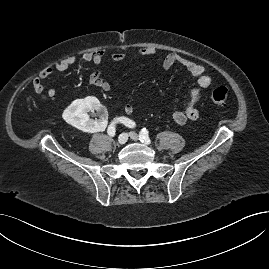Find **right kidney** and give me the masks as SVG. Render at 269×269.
Here are the masks:
<instances>
[{
    "label": "right kidney",
    "instance_id": "1",
    "mask_svg": "<svg viewBox=\"0 0 269 269\" xmlns=\"http://www.w3.org/2000/svg\"><path fill=\"white\" fill-rule=\"evenodd\" d=\"M93 111L100 114L95 117V120L91 119L88 114ZM107 111V106L97 98L88 97L74 101L68 109L61 111L60 116L84 132H102L109 127L107 117L104 115Z\"/></svg>",
    "mask_w": 269,
    "mask_h": 269
}]
</instances>
